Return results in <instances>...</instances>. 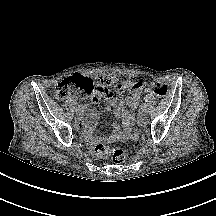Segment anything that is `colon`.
I'll return each instance as SVG.
<instances>
[{"mask_svg":"<svg viewBox=\"0 0 216 216\" xmlns=\"http://www.w3.org/2000/svg\"><path fill=\"white\" fill-rule=\"evenodd\" d=\"M108 86L107 81L103 78L96 82L90 78L80 75H73L62 80L55 91V96L59 100H64L69 97H93L105 92ZM138 86L144 93H152L160 98H164L169 93V87L160 82H154L150 85L138 83ZM96 152L100 156L111 155L112 161L115 164L123 163L128 152L124 149H110L108 146L100 144L96 147Z\"/></svg>","mask_w":216,"mask_h":216,"instance_id":"obj_1","label":"colon"}]
</instances>
